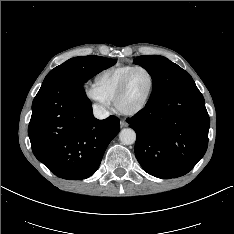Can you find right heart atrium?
I'll use <instances>...</instances> for the list:
<instances>
[{"label":"right heart atrium","instance_id":"obj_1","mask_svg":"<svg viewBox=\"0 0 234 234\" xmlns=\"http://www.w3.org/2000/svg\"><path fill=\"white\" fill-rule=\"evenodd\" d=\"M86 95L89 99L96 102L103 108H108L110 106V100L106 98L96 85H91L86 88Z\"/></svg>","mask_w":234,"mask_h":234}]
</instances>
